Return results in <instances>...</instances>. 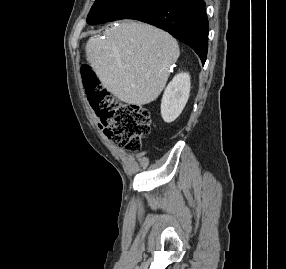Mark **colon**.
Returning a JSON list of instances; mask_svg holds the SVG:
<instances>
[{"mask_svg": "<svg viewBox=\"0 0 286 269\" xmlns=\"http://www.w3.org/2000/svg\"><path fill=\"white\" fill-rule=\"evenodd\" d=\"M82 74L90 106L104 125L107 138L129 152H139L141 139L151 132L148 110L119 103L107 93L92 71L83 69Z\"/></svg>", "mask_w": 286, "mask_h": 269, "instance_id": "obj_1", "label": "colon"}]
</instances>
